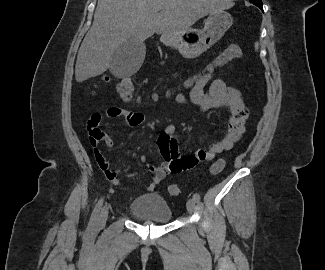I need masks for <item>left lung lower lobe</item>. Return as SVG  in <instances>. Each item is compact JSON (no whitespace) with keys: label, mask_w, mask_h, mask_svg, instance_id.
<instances>
[{"label":"left lung lower lobe","mask_w":325,"mask_h":270,"mask_svg":"<svg viewBox=\"0 0 325 270\" xmlns=\"http://www.w3.org/2000/svg\"><path fill=\"white\" fill-rule=\"evenodd\" d=\"M256 6H258L261 10H263L262 9V4H256Z\"/></svg>","instance_id":"1"}]
</instances>
